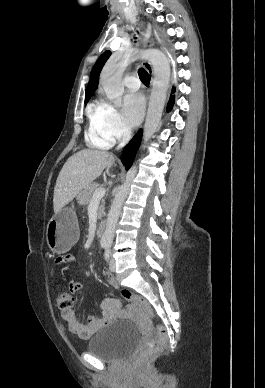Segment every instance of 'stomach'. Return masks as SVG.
<instances>
[{"label": "stomach", "mask_w": 265, "mask_h": 388, "mask_svg": "<svg viewBox=\"0 0 265 388\" xmlns=\"http://www.w3.org/2000/svg\"><path fill=\"white\" fill-rule=\"evenodd\" d=\"M79 226L76 213L71 208L61 209L47 225V244L53 253L64 254L77 242Z\"/></svg>", "instance_id": "stomach-1"}]
</instances>
